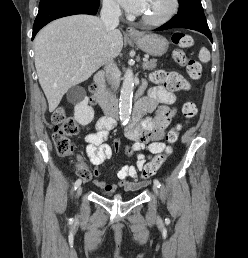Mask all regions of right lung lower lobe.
<instances>
[{
	"label": "right lung lower lobe",
	"mask_w": 248,
	"mask_h": 258,
	"mask_svg": "<svg viewBox=\"0 0 248 258\" xmlns=\"http://www.w3.org/2000/svg\"><path fill=\"white\" fill-rule=\"evenodd\" d=\"M99 5L100 0H59L40 6L33 25L32 40L52 20L74 14L95 15Z\"/></svg>",
	"instance_id": "right-lung-lower-lobe-1"
}]
</instances>
